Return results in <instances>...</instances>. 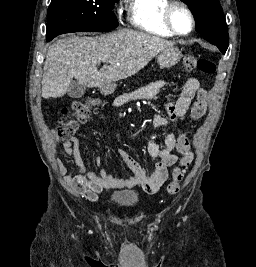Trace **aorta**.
<instances>
[{
  "label": "aorta",
  "mask_w": 256,
  "mask_h": 267,
  "mask_svg": "<svg viewBox=\"0 0 256 267\" xmlns=\"http://www.w3.org/2000/svg\"><path fill=\"white\" fill-rule=\"evenodd\" d=\"M137 137H140V134H137Z\"/></svg>",
  "instance_id": "aorta-1"
}]
</instances>
